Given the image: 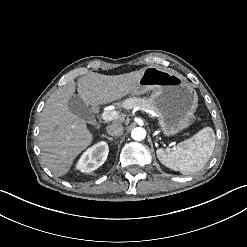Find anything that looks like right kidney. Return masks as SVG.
Wrapping results in <instances>:
<instances>
[{"instance_id": "obj_1", "label": "right kidney", "mask_w": 247, "mask_h": 247, "mask_svg": "<svg viewBox=\"0 0 247 247\" xmlns=\"http://www.w3.org/2000/svg\"><path fill=\"white\" fill-rule=\"evenodd\" d=\"M109 153L107 142L99 141L87 148L78 158L74 165L75 171L91 173L101 167Z\"/></svg>"}]
</instances>
